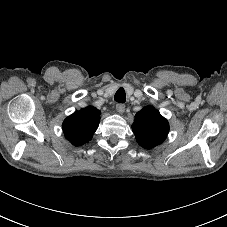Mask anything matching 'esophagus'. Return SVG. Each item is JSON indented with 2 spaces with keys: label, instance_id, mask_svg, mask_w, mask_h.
I'll return each mask as SVG.
<instances>
[{
  "label": "esophagus",
  "instance_id": "34e87169",
  "mask_svg": "<svg viewBox=\"0 0 227 227\" xmlns=\"http://www.w3.org/2000/svg\"><path fill=\"white\" fill-rule=\"evenodd\" d=\"M116 111L120 114L123 113L125 111V105L122 103L116 104Z\"/></svg>",
  "mask_w": 227,
  "mask_h": 227
}]
</instances>
